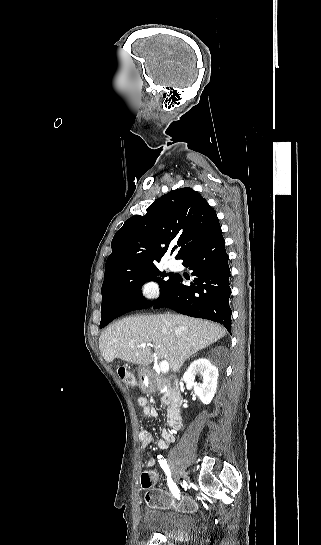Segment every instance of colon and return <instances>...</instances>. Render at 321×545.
Here are the masks:
<instances>
[{"label": "colon", "instance_id": "1", "mask_svg": "<svg viewBox=\"0 0 321 545\" xmlns=\"http://www.w3.org/2000/svg\"><path fill=\"white\" fill-rule=\"evenodd\" d=\"M118 375L129 389L135 387L134 377L128 369L120 367L118 369ZM152 484L153 481L149 472H143L141 476L142 487L144 489H150ZM145 501L148 505L163 509H179L189 512L194 511L197 508L195 501L191 498L183 496L181 499L176 500L171 494L159 489L150 490L145 496Z\"/></svg>", "mask_w": 321, "mask_h": 545}]
</instances>
